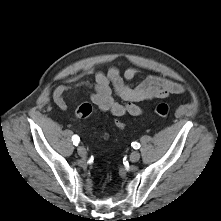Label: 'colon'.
Instances as JSON below:
<instances>
[{"mask_svg":"<svg viewBox=\"0 0 221 221\" xmlns=\"http://www.w3.org/2000/svg\"><path fill=\"white\" fill-rule=\"evenodd\" d=\"M93 112V107L89 103H83L80 106H78L74 112V116L77 119H84L89 117ZM155 114L160 118H167L170 114V108L167 104L161 103L158 104L154 109ZM112 126L115 129H122L125 127V124L120 118H115L112 121Z\"/></svg>","mask_w":221,"mask_h":221,"instance_id":"5ec220e1","label":"colon"}]
</instances>
